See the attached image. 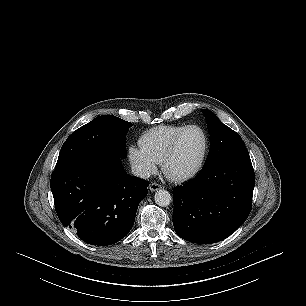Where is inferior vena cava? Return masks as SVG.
<instances>
[{"label":"inferior vena cava","mask_w":306,"mask_h":306,"mask_svg":"<svg viewBox=\"0 0 306 306\" xmlns=\"http://www.w3.org/2000/svg\"><path fill=\"white\" fill-rule=\"evenodd\" d=\"M132 174L142 179H148L151 176L150 170L141 164L132 165Z\"/></svg>","instance_id":"obj_1"}]
</instances>
